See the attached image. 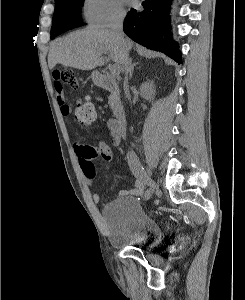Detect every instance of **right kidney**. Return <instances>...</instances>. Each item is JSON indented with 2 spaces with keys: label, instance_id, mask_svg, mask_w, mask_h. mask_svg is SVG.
Returning <instances> with one entry per match:
<instances>
[{
  "label": "right kidney",
  "instance_id": "ca27d5eb",
  "mask_svg": "<svg viewBox=\"0 0 245 300\" xmlns=\"http://www.w3.org/2000/svg\"><path fill=\"white\" fill-rule=\"evenodd\" d=\"M140 95L146 100H153L155 97V89L153 81L144 82L140 87Z\"/></svg>",
  "mask_w": 245,
  "mask_h": 300
}]
</instances>
